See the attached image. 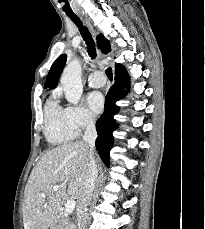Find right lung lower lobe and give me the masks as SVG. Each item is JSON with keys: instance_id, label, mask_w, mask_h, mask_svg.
I'll use <instances>...</instances> for the list:
<instances>
[{"instance_id": "98d812e1", "label": "right lung lower lobe", "mask_w": 205, "mask_h": 229, "mask_svg": "<svg viewBox=\"0 0 205 229\" xmlns=\"http://www.w3.org/2000/svg\"><path fill=\"white\" fill-rule=\"evenodd\" d=\"M129 83V77L122 65L115 66V83L109 89L105 97V110L96 122L97 140L95 142L97 151L106 166H109V152L114 144L113 131L117 128L116 120L113 118L118 113L119 107L115 104L124 95V87Z\"/></svg>"}]
</instances>
